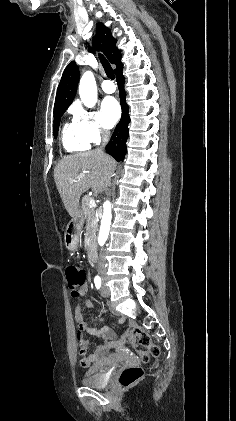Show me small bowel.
Wrapping results in <instances>:
<instances>
[{
  "label": "small bowel",
  "mask_w": 236,
  "mask_h": 421,
  "mask_svg": "<svg viewBox=\"0 0 236 421\" xmlns=\"http://www.w3.org/2000/svg\"><path fill=\"white\" fill-rule=\"evenodd\" d=\"M86 291H87V287H86V286H84V287H83V289H82V291H81V295L85 294V293H86ZM84 305H85L87 308H92V307H93V304H92L90 301H85V302H84ZM75 318H76V321H77V323L79 324V326H80V327H82V326L84 325V323H83V316H82V314H81L80 306H78V307L76 308ZM116 361H117V359L115 360V362H116ZM90 363H91V358H90V356H89V357H87V356L85 355V352L83 351V352H82V358H81V361H80L81 366H82V367H84V368H86V367H88V366L90 365Z\"/></svg>",
  "instance_id": "1"
}]
</instances>
